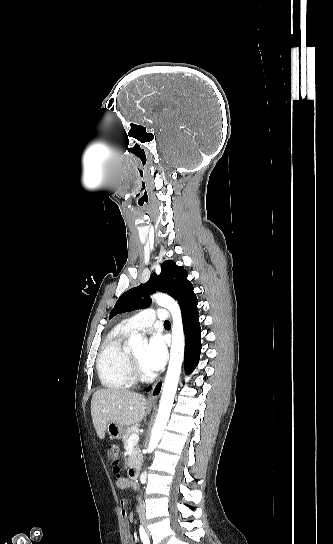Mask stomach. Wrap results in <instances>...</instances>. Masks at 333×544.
<instances>
[{
  "label": "stomach",
  "instance_id": "obj_1",
  "mask_svg": "<svg viewBox=\"0 0 333 544\" xmlns=\"http://www.w3.org/2000/svg\"><path fill=\"white\" fill-rule=\"evenodd\" d=\"M106 431L110 435V438L120 439L125 432V428L119 424L109 422L106 425Z\"/></svg>",
  "mask_w": 333,
  "mask_h": 544
}]
</instances>
